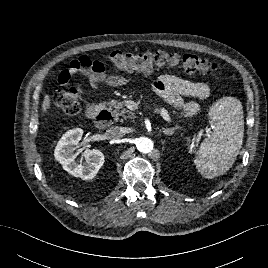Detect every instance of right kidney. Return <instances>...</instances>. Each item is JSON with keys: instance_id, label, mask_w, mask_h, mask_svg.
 <instances>
[{"instance_id": "ca27d5eb", "label": "right kidney", "mask_w": 268, "mask_h": 268, "mask_svg": "<svg viewBox=\"0 0 268 268\" xmlns=\"http://www.w3.org/2000/svg\"><path fill=\"white\" fill-rule=\"evenodd\" d=\"M83 130L75 128L67 131L55 148V158L62 165L63 169L74 177H80L83 180H91L98 173L104 164V155L101 151L93 149L86 150L82 154L85 162L76 160L78 152H74L81 140Z\"/></svg>"}]
</instances>
